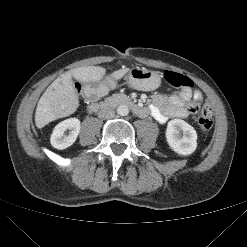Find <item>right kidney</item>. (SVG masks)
Here are the masks:
<instances>
[{
  "instance_id": "right-kidney-1",
  "label": "right kidney",
  "mask_w": 247,
  "mask_h": 247,
  "mask_svg": "<svg viewBox=\"0 0 247 247\" xmlns=\"http://www.w3.org/2000/svg\"><path fill=\"white\" fill-rule=\"evenodd\" d=\"M80 120L77 118L66 119L57 124L50 137L51 145L59 150H63L71 146L80 133ZM69 130V134L65 132Z\"/></svg>"
}]
</instances>
